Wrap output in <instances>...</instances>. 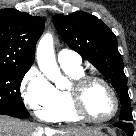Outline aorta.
Masks as SVG:
<instances>
[{
	"mask_svg": "<svg viewBox=\"0 0 136 136\" xmlns=\"http://www.w3.org/2000/svg\"><path fill=\"white\" fill-rule=\"evenodd\" d=\"M36 57L40 71L50 81L55 83L56 87L64 88L66 80L62 77L60 69L57 65L53 37L50 33L41 37L37 46Z\"/></svg>",
	"mask_w": 136,
	"mask_h": 136,
	"instance_id": "762f6f07",
	"label": "aorta"
}]
</instances>
